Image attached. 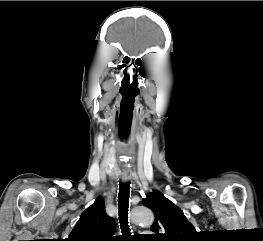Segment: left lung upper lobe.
Wrapping results in <instances>:
<instances>
[{
	"label": "left lung upper lobe",
	"mask_w": 263,
	"mask_h": 241,
	"mask_svg": "<svg viewBox=\"0 0 263 241\" xmlns=\"http://www.w3.org/2000/svg\"><path fill=\"white\" fill-rule=\"evenodd\" d=\"M144 206L152 209L155 221L151 226L154 232L148 238L153 241H194L197 231L187 220L182 210L155 191L143 199Z\"/></svg>",
	"instance_id": "1"
}]
</instances>
